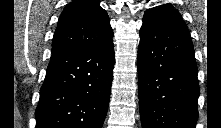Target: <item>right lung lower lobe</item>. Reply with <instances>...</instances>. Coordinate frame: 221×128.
<instances>
[{
	"label": "right lung lower lobe",
	"instance_id": "obj_1",
	"mask_svg": "<svg viewBox=\"0 0 221 128\" xmlns=\"http://www.w3.org/2000/svg\"><path fill=\"white\" fill-rule=\"evenodd\" d=\"M113 40L52 53L35 111L36 128H102L110 100Z\"/></svg>",
	"mask_w": 221,
	"mask_h": 128
}]
</instances>
